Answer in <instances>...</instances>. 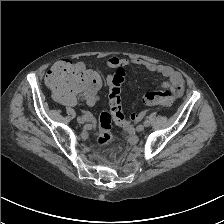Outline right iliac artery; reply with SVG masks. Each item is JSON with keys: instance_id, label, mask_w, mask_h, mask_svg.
Masks as SVG:
<instances>
[{"instance_id": "82829eb1", "label": "right iliac artery", "mask_w": 224, "mask_h": 224, "mask_svg": "<svg viewBox=\"0 0 224 224\" xmlns=\"http://www.w3.org/2000/svg\"><path fill=\"white\" fill-rule=\"evenodd\" d=\"M82 117H84V119L86 120V121H91L92 120V116L90 115V114H84Z\"/></svg>"}]
</instances>
